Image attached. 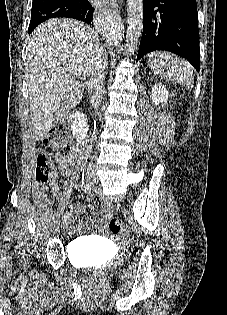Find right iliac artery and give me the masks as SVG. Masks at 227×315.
<instances>
[{
  "instance_id": "1",
  "label": "right iliac artery",
  "mask_w": 227,
  "mask_h": 315,
  "mask_svg": "<svg viewBox=\"0 0 227 315\" xmlns=\"http://www.w3.org/2000/svg\"><path fill=\"white\" fill-rule=\"evenodd\" d=\"M91 188H92V185L87 183V184L84 185L83 191H84L85 193L90 192V191H91ZM68 218H69V215H68V214H64V215H63V220H64V221L67 220Z\"/></svg>"
}]
</instances>
